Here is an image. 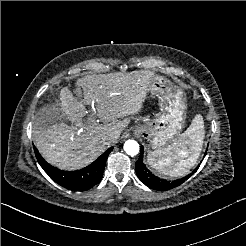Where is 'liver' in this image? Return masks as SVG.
<instances>
[{"label": "liver", "mask_w": 246, "mask_h": 246, "mask_svg": "<svg viewBox=\"0 0 246 246\" xmlns=\"http://www.w3.org/2000/svg\"><path fill=\"white\" fill-rule=\"evenodd\" d=\"M155 78L151 73L133 77L87 76L76 82L77 98L65 87L56 105L72 124L39 115L33 131L36 147L49 162L62 168L89 163L118 139L126 123L117 119L140 112ZM91 101H95V108L86 110L85 105ZM110 133H115L114 138L106 139Z\"/></svg>", "instance_id": "6515ba94"}]
</instances>
